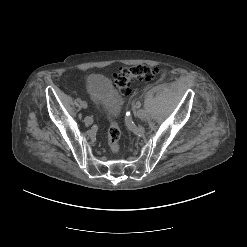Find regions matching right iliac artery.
I'll return each mask as SVG.
<instances>
[{
    "label": "right iliac artery",
    "instance_id": "82829eb1",
    "mask_svg": "<svg viewBox=\"0 0 247 247\" xmlns=\"http://www.w3.org/2000/svg\"><path fill=\"white\" fill-rule=\"evenodd\" d=\"M80 106L85 109V108H87L88 104H87V102L84 101V102L80 103Z\"/></svg>",
    "mask_w": 247,
    "mask_h": 247
}]
</instances>
